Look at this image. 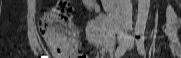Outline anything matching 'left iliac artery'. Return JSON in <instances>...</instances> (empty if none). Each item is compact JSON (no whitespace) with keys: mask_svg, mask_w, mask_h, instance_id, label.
I'll return each mask as SVG.
<instances>
[{"mask_svg":"<svg viewBox=\"0 0 181 58\" xmlns=\"http://www.w3.org/2000/svg\"><path fill=\"white\" fill-rule=\"evenodd\" d=\"M144 40H145V36H144V34H141L140 38L136 41L137 49H138L139 53L142 55L145 54Z\"/></svg>","mask_w":181,"mask_h":58,"instance_id":"44dca946","label":"left iliac artery"}]
</instances>
